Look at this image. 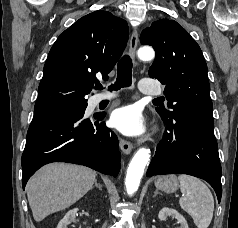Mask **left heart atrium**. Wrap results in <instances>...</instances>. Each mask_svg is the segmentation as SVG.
Listing matches in <instances>:
<instances>
[{
	"mask_svg": "<svg viewBox=\"0 0 238 228\" xmlns=\"http://www.w3.org/2000/svg\"><path fill=\"white\" fill-rule=\"evenodd\" d=\"M111 124L128 136L140 135L146 129L140 110L132 105L116 109L111 115Z\"/></svg>",
	"mask_w": 238,
	"mask_h": 228,
	"instance_id": "1",
	"label": "left heart atrium"
}]
</instances>
